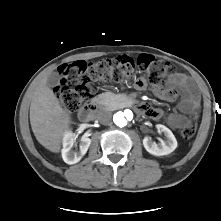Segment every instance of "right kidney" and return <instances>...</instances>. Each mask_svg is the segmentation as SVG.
Segmentation results:
<instances>
[{
    "label": "right kidney",
    "mask_w": 221,
    "mask_h": 221,
    "mask_svg": "<svg viewBox=\"0 0 221 221\" xmlns=\"http://www.w3.org/2000/svg\"><path fill=\"white\" fill-rule=\"evenodd\" d=\"M76 142V137L71 131H67L63 137V149H62V158L67 164H75L81 160V158L86 154L90 144L91 139L82 136L81 145L79 151H74L72 148Z\"/></svg>",
    "instance_id": "1"
}]
</instances>
